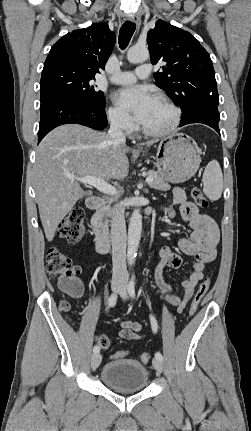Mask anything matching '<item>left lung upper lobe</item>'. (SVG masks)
<instances>
[{"label":"left lung upper lobe","mask_w":251,"mask_h":431,"mask_svg":"<svg viewBox=\"0 0 251 431\" xmlns=\"http://www.w3.org/2000/svg\"><path fill=\"white\" fill-rule=\"evenodd\" d=\"M152 64L163 62L155 84L182 110V119L201 109L218 110L219 96L210 55L189 32L158 20L148 32Z\"/></svg>","instance_id":"5c2ea615"}]
</instances>
